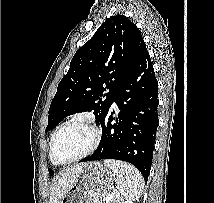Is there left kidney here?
<instances>
[{
    "label": "left kidney",
    "mask_w": 214,
    "mask_h": 203,
    "mask_svg": "<svg viewBox=\"0 0 214 203\" xmlns=\"http://www.w3.org/2000/svg\"><path fill=\"white\" fill-rule=\"evenodd\" d=\"M122 203H133V202H131V201H126V202H122Z\"/></svg>",
    "instance_id": "1"
}]
</instances>
